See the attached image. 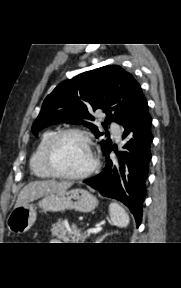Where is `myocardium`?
I'll list each match as a JSON object with an SVG mask.
<instances>
[{"instance_id":"f54148a6","label":"myocardium","mask_w":181,"mask_h":288,"mask_svg":"<svg viewBox=\"0 0 181 288\" xmlns=\"http://www.w3.org/2000/svg\"><path fill=\"white\" fill-rule=\"evenodd\" d=\"M68 135H76L78 137H81L85 143L87 144L90 156H91V163L84 171L79 173H67L63 171L56 163L55 161V150L58 145V143L61 141L62 138L68 136ZM45 163L48 167V169L57 177L64 178V179H71V180H79L88 177L90 174H92L99 164L98 156L94 150V143L91 138V135L82 129L79 128H66L63 130H60L54 134V136L49 141L47 148L45 150Z\"/></svg>"}]
</instances>
